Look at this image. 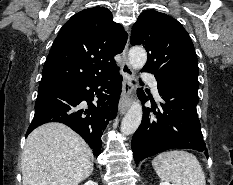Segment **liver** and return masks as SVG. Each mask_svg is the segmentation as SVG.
Here are the masks:
<instances>
[{
  "label": "liver",
  "instance_id": "6515ba94",
  "mask_svg": "<svg viewBox=\"0 0 233 185\" xmlns=\"http://www.w3.org/2000/svg\"><path fill=\"white\" fill-rule=\"evenodd\" d=\"M94 156L76 132L47 123L27 137L21 156L23 185H79L93 172Z\"/></svg>",
  "mask_w": 233,
  "mask_h": 185
}]
</instances>
